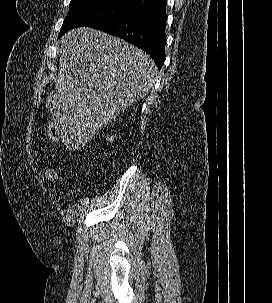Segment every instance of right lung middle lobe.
<instances>
[{
    "instance_id": "right-lung-middle-lobe-1",
    "label": "right lung middle lobe",
    "mask_w": 272,
    "mask_h": 303,
    "mask_svg": "<svg viewBox=\"0 0 272 303\" xmlns=\"http://www.w3.org/2000/svg\"><path fill=\"white\" fill-rule=\"evenodd\" d=\"M139 7L127 0H71L59 37L70 29L96 23L132 12Z\"/></svg>"
}]
</instances>
